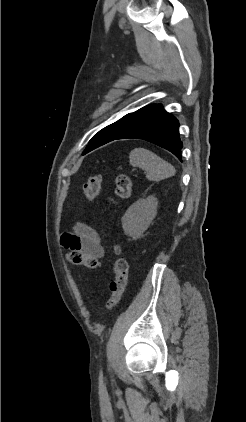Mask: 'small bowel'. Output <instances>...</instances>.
I'll use <instances>...</instances> for the list:
<instances>
[{
  "mask_svg": "<svg viewBox=\"0 0 246 422\" xmlns=\"http://www.w3.org/2000/svg\"><path fill=\"white\" fill-rule=\"evenodd\" d=\"M61 244L70 251L79 250L97 260L104 256V249L97 232L84 223H77L73 232L63 233Z\"/></svg>",
  "mask_w": 246,
  "mask_h": 422,
  "instance_id": "small-bowel-1",
  "label": "small bowel"
}]
</instances>
